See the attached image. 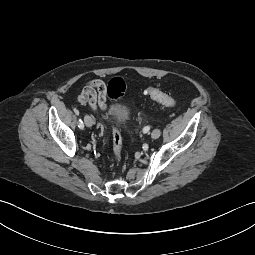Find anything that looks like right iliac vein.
Instances as JSON below:
<instances>
[{"mask_svg":"<svg viewBox=\"0 0 255 255\" xmlns=\"http://www.w3.org/2000/svg\"><path fill=\"white\" fill-rule=\"evenodd\" d=\"M84 122L87 127H91L93 125V119L89 115H85Z\"/></svg>","mask_w":255,"mask_h":255,"instance_id":"obj_1","label":"right iliac vein"}]
</instances>
